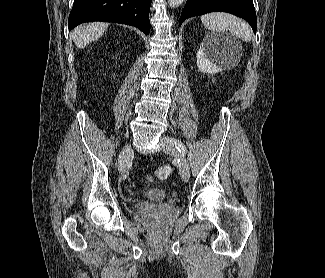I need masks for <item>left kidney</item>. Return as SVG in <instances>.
Returning a JSON list of instances; mask_svg holds the SVG:
<instances>
[{
	"instance_id": "5707ae66",
	"label": "left kidney",
	"mask_w": 325,
	"mask_h": 278,
	"mask_svg": "<svg viewBox=\"0 0 325 278\" xmlns=\"http://www.w3.org/2000/svg\"><path fill=\"white\" fill-rule=\"evenodd\" d=\"M231 48L219 35L206 36L197 52V66L202 73L222 72L223 57L229 56Z\"/></svg>"
}]
</instances>
